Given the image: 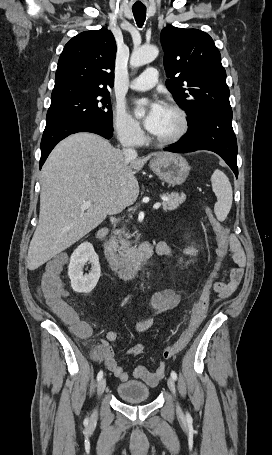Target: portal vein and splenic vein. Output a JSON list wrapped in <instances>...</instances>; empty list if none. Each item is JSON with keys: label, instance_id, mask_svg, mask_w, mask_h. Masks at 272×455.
<instances>
[{"label": "portal vein and splenic vein", "instance_id": "18ae733b", "mask_svg": "<svg viewBox=\"0 0 272 455\" xmlns=\"http://www.w3.org/2000/svg\"><path fill=\"white\" fill-rule=\"evenodd\" d=\"M91 204H92L91 201H86L81 205V209H83V210L88 209L91 206ZM160 206H161V204L158 202V203L154 204L153 208L159 209Z\"/></svg>", "mask_w": 272, "mask_h": 455}]
</instances>
